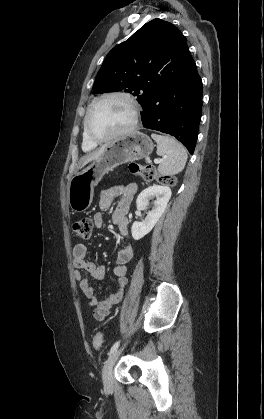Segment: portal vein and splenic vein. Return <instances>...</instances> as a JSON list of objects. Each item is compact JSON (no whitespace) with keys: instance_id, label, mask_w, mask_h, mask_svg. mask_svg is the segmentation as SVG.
Returning a JSON list of instances; mask_svg holds the SVG:
<instances>
[{"instance_id":"obj_1","label":"portal vein and splenic vein","mask_w":264,"mask_h":419,"mask_svg":"<svg viewBox=\"0 0 264 419\" xmlns=\"http://www.w3.org/2000/svg\"><path fill=\"white\" fill-rule=\"evenodd\" d=\"M161 161H162V159H155V160H154V163H155V164H158V163H160Z\"/></svg>"}]
</instances>
